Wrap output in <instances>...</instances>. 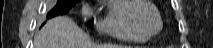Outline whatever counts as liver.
Instances as JSON below:
<instances>
[{
  "label": "liver",
  "instance_id": "1",
  "mask_svg": "<svg viewBox=\"0 0 213 48\" xmlns=\"http://www.w3.org/2000/svg\"><path fill=\"white\" fill-rule=\"evenodd\" d=\"M35 48H127L120 45H96L68 17L49 20L34 37Z\"/></svg>",
  "mask_w": 213,
  "mask_h": 48
}]
</instances>
